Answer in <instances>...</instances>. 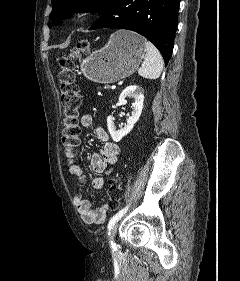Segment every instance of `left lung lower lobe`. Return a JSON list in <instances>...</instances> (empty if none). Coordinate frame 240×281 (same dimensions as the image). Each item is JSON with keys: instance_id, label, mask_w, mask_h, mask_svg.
<instances>
[{"instance_id": "obj_1", "label": "left lung lower lobe", "mask_w": 240, "mask_h": 281, "mask_svg": "<svg viewBox=\"0 0 240 281\" xmlns=\"http://www.w3.org/2000/svg\"><path fill=\"white\" fill-rule=\"evenodd\" d=\"M179 3L180 0H111L89 30L135 31L159 49L167 65L173 51Z\"/></svg>"}]
</instances>
